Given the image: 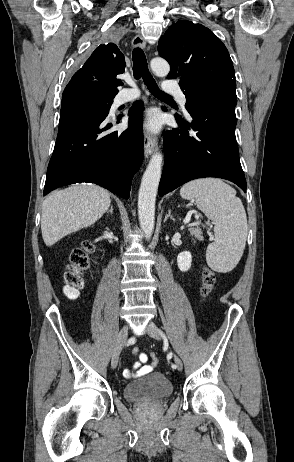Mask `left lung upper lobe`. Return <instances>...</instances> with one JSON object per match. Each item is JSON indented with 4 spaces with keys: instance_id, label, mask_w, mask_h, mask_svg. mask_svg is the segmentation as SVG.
Masks as SVG:
<instances>
[{
    "instance_id": "left-lung-upper-lobe-1",
    "label": "left lung upper lobe",
    "mask_w": 294,
    "mask_h": 462,
    "mask_svg": "<svg viewBox=\"0 0 294 462\" xmlns=\"http://www.w3.org/2000/svg\"><path fill=\"white\" fill-rule=\"evenodd\" d=\"M157 49L171 66L168 78L180 79L188 111L216 98L237 103L232 60L225 45L208 28L178 21L160 38Z\"/></svg>"
}]
</instances>
